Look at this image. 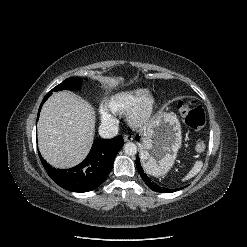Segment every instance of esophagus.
Returning <instances> with one entry per match:
<instances>
[{
    "label": "esophagus",
    "mask_w": 247,
    "mask_h": 247,
    "mask_svg": "<svg viewBox=\"0 0 247 247\" xmlns=\"http://www.w3.org/2000/svg\"><path fill=\"white\" fill-rule=\"evenodd\" d=\"M123 139H124L125 142H129V141L133 140V137L128 135V134H124L123 135Z\"/></svg>",
    "instance_id": "34e87169"
}]
</instances>
